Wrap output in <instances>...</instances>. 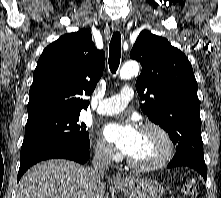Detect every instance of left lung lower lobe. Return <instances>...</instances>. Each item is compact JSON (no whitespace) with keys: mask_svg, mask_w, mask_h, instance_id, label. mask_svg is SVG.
<instances>
[{"mask_svg":"<svg viewBox=\"0 0 221 198\" xmlns=\"http://www.w3.org/2000/svg\"><path fill=\"white\" fill-rule=\"evenodd\" d=\"M188 166L198 171L202 177L207 178L206 164L204 161V153L202 151L192 149L189 151L176 152L175 156L168 164V168Z\"/></svg>","mask_w":221,"mask_h":198,"instance_id":"left-lung-lower-lobe-1","label":"left lung lower lobe"}]
</instances>
